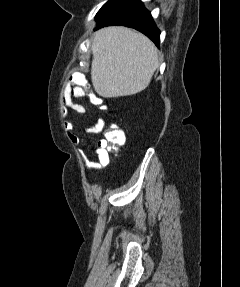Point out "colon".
I'll list each match as a JSON object with an SVG mask.
<instances>
[{
  "instance_id": "1",
  "label": "colon",
  "mask_w": 240,
  "mask_h": 287,
  "mask_svg": "<svg viewBox=\"0 0 240 287\" xmlns=\"http://www.w3.org/2000/svg\"><path fill=\"white\" fill-rule=\"evenodd\" d=\"M94 102L100 104L102 100L98 97H94ZM106 108V106H102ZM126 136L124 131L117 125L112 124L105 132V141L109 145L110 149H116L125 143Z\"/></svg>"
}]
</instances>
